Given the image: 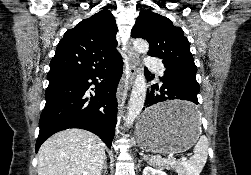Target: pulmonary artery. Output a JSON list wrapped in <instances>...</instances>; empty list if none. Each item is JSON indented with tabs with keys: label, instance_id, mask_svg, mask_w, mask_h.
Listing matches in <instances>:
<instances>
[{
	"label": "pulmonary artery",
	"instance_id": "1",
	"mask_svg": "<svg viewBox=\"0 0 251 175\" xmlns=\"http://www.w3.org/2000/svg\"><path fill=\"white\" fill-rule=\"evenodd\" d=\"M143 63L147 70H157L156 73L160 76H163V70L167 69L166 65H161V62H158L157 58H151V55H146Z\"/></svg>",
	"mask_w": 251,
	"mask_h": 175
}]
</instances>
